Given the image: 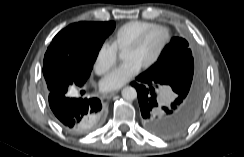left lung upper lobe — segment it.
Listing matches in <instances>:
<instances>
[{"instance_id":"obj_1","label":"left lung upper lobe","mask_w":244,"mask_h":157,"mask_svg":"<svg viewBox=\"0 0 244 157\" xmlns=\"http://www.w3.org/2000/svg\"><path fill=\"white\" fill-rule=\"evenodd\" d=\"M145 73L162 78L176 94H183L188 98L201 97L203 80L194 64L189 44L183 38H173Z\"/></svg>"}]
</instances>
